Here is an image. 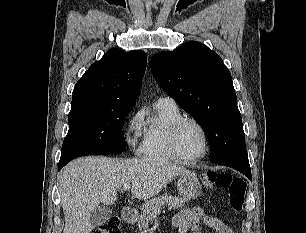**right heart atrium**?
Here are the masks:
<instances>
[{"label":"right heart atrium","instance_id":"d8ad5b80","mask_svg":"<svg viewBox=\"0 0 306 233\" xmlns=\"http://www.w3.org/2000/svg\"><path fill=\"white\" fill-rule=\"evenodd\" d=\"M143 114L138 110L134 112L125 128V140L129 147L135 151H141L140 139L143 133Z\"/></svg>","mask_w":306,"mask_h":233}]
</instances>
